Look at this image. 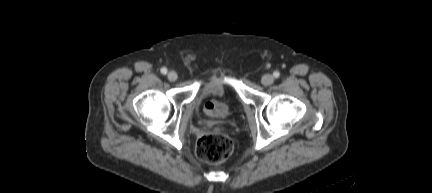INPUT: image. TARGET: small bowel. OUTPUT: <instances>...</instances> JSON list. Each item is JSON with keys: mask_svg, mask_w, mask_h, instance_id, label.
I'll list each match as a JSON object with an SVG mask.
<instances>
[{"mask_svg": "<svg viewBox=\"0 0 432 193\" xmlns=\"http://www.w3.org/2000/svg\"><path fill=\"white\" fill-rule=\"evenodd\" d=\"M205 112L210 116H221L224 114V109L219 104L208 103L205 106Z\"/></svg>", "mask_w": 432, "mask_h": 193, "instance_id": "small-bowel-1", "label": "small bowel"}]
</instances>
